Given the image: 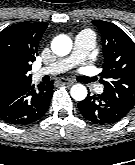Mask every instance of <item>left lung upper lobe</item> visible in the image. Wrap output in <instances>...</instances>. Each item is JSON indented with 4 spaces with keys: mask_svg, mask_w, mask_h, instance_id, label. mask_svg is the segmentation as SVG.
Here are the masks:
<instances>
[{
    "mask_svg": "<svg viewBox=\"0 0 135 165\" xmlns=\"http://www.w3.org/2000/svg\"><path fill=\"white\" fill-rule=\"evenodd\" d=\"M92 22L102 36L104 64L100 82L104 92L132 108L135 105V44L117 25L102 20Z\"/></svg>",
    "mask_w": 135,
    "mask_h": 165,
    "instance_id": "obj_1",
    "label": "left lung upper lobe"
}]
</instances>
